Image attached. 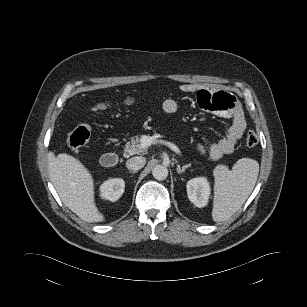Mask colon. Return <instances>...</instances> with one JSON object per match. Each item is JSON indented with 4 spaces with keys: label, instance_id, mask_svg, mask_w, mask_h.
Returning a JSON list of instances; mask_svg holds the SVG:
<instances>
[{
    "label": "colon",
    "instance_id": "obj_1",
    "mask_svg": "<svg viewBox=\"0 0 307 307\" xmlns=\"http://www.w3.org/2000/svg\"><path fill=\"white\" fill-rule=\"evenodd\" d=\"M130 102L131 99L126 100V103ZM104 107H106V104L100 103L95 106V109H102ZM89 139V129L85 126H79L69 134L68 145L72 150H80L89 142ZM245 142L248 147H255L259 142L258 135L254 131H249L246 135Z\"/></svg>",
    "mask_w": 307,
    "mask_h": 307
}]
</instances>
